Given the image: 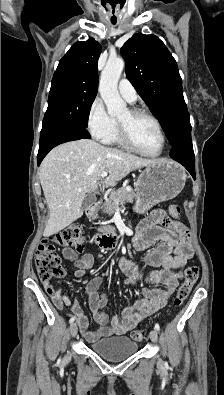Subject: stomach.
Wrapping results in <instances>:
<instances>
[{
    "instance_id": "stomach-1",
    "label": "stomach",
    "mask_w": 224,
    "mask_h": 395,
    "mask_svg": "<svg viewBox=\"0 0 224 395\" xmlns=\"http://www.w3.org/2000/svg\"><path fill=\"white\" fill-rule=\"evenodd\" d=\"M185 182L184 169L174 161L160 159L147 165L135 183L136 212L144 213L159 202L175 198Z\"/></svg>"
}]
</instances>
